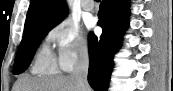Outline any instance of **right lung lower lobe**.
<instances>
[{
    "mask_svg": "<svg viewBox=\"0 0 173 91\" xmlns=\"http://www.w3.org/2000/svg\"><path fill=\"white\" fill-rule=\"evenodd\" d=\"M129 11L128 0H103L100 4L98 25L102 35L89 34L88 81L95 91L108 89L113 56L120 47Z\"/></svg>",
    "mask_w": 173,
    "mask_h": 91,
    "instance_id": "right-lung-lower-lobe-1",
    "label": "right lung lower lobe"
}]
</instances>
